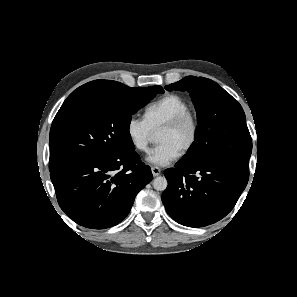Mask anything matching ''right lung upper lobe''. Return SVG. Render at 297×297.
Segmentation results:
<instances>
[{
  "label": "right lung upper lobe",
  "mask_w": 297,
  "mask_h": 297,
  "mask_svg": "<svg viewBox=\"0 0 297 297\" xmlns=\"http://www.w3.org/2000/svg\"><path fill=\"white\" fill-rule=\"evenodd\" d=\"M102 81L108 80H95L78 87L67 97L63 105L70 104L84 98L99 96L103 94L101 90L103 87Z\"/></svg>",
  "instance_id": "cb5924a9"
}]
</instances>
